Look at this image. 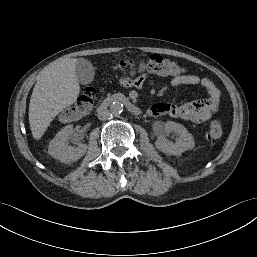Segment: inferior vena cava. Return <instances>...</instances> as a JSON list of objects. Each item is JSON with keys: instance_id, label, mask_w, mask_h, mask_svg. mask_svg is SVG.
<instances>
[{"instance_id": "obj_1", "label": "inferior vena cava", "mask_w": 257, "mask_h": 257, "mask_svg": "<svg viewBox=\"0 0 257 257\" xmlns=\"http://www.w3.org/2000/svg\"><path fill=\"white\" fill-rule=\"evenodd\" d=\"M97 113H98V118H99L100 120H107V119H109V118L111 117V115H112L111 112H110V110L105 109V108H100V109H98Z\"/></svg>"}]
</instances>
